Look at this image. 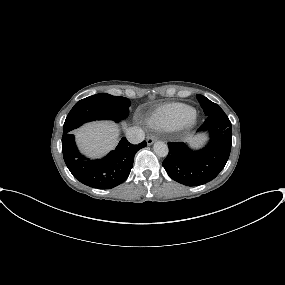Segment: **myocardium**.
<instances>
[{
    "instance_id": "obj_1",
    "label": "myocardium",
    "mask_w": 285,
    "mask_h": 285,
    "mask_svg": "<svg viewBox=\"0 0 285 285\" xmlns=\"http://www.w3.org/2000/svg\"><path fill=\"white\" fill-rule=\"evenodd\" d=\"M195 122V115L191 116L188 121L185 123V126H192Z\"/></svg>"
}]
</instances>
